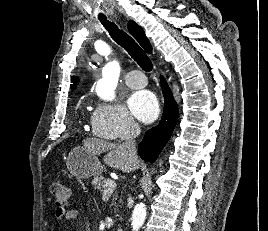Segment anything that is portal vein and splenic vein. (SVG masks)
<instances>
[{
    "instance_id": "18ae733b",
    "label": "portal vein and splenic vein",
    "mask_w": 268,
    "mask_h": 231,
    "mask_svg": "<svg viewBox=\"0 0 268 231\" xmlns=\"http://www.w3.org/2000/svg\"><path fill=\"white\" fill-rule=\"evenodd\" d=\"M116 188V182L114 180H107L104 186L105 192H110Z\"/></svg>"
}]
</instances>
